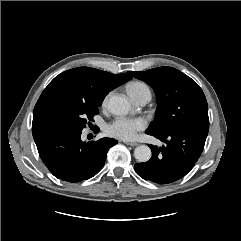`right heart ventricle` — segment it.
Returning <instances> with one entry per match:
<instances>
[{
    "label": "right heart ventricle",
    "instance_id": "obj_1",
    "mask_svg": "<svg viewBox=\"0 0 241 241\" xmlns=\"http://www.w3.org/2000/svg\"><path fill=\"white\" fill-rule=\"evenodd\" d=\"M127 91L132 98L144 93L151 94L149 86L142 81H134L127 87Z\"/></svg>",
    "mask_w": 241,
    "mask_h": 241
}]
</instances>
